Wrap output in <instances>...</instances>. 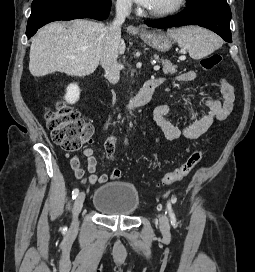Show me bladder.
Masks as SVG:
<instances>
[{
	"label": "bladder",
	"instance_id": "31cf9c89",
	"mask_svg": "<svg viewBox=\"0 0 255 272\" xmlns=\"http://www.w3.org/2000/svg\"><path fill=\"white\" fill-rule=\"evenodd\" d=\"M92 205L106 216H131L140 206V196L134 184L112 181L97 188Z\"/></svg>",
	"mask_w": 255,
	"mask_h": 272
}]
</instances>
